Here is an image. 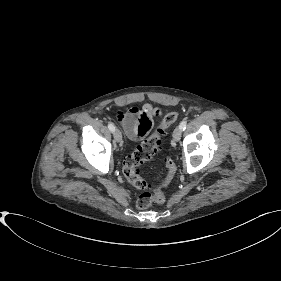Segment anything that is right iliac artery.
<instances>
[{
	"instance_id": "obj_1",
	"label": "right iliac artery",
	"mask_w": 281,
	"mask_h": 281,
	"mask_svg": "<svg viewBox=\"0 0 281 281\" xmlns=\"http://www.w3.org/2000/svg\"><path fill=\"white\" fill-rule=\"evenodd\" d=\"M108 128H109V130H110L111 132H114V131H115V126H114V124L111 123V122L108 124Z\"/></svg>"
}]
</instances>
